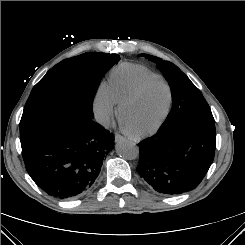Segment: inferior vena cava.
Listing matches in <instances>:
<instances>
[{
	"label": "inferior vena cava",
	"mask_w": 245,
	"mask_h": 245,
	"mask_svg": "<svg viewBox=\"0 0 245 245\" xmlns=\"http://www.w3.org/2000/svg\"><path fill=\"white\" fill-rule=\"evenodd\" d=\"M96 121L103 126H109L110 125V118L108 115L98 114L96 116Z\"/></svg>",
	"instance_id": "602c4592"
}]
</instances>
